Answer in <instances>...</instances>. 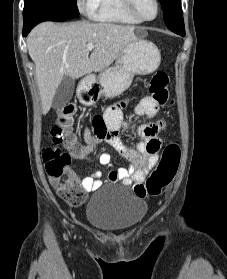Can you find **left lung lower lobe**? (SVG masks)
Segmentation results:
<instances>
[{
	"instance_id": "1",
	"label": "left lung lower lobe",
	"mask_w": 227,
	"mask_h": 279,
	"mask_svg": "<svg viewBox=\"0 0 227 279\" xmlns=\"http://www.w3.org/2000/svg\"><path fill=\"white\" fill-rule=\"evenodd\" d=\"M172 32L176 33V34H179L181 36H185V30H180V31H176V30H171Z\"/></svg>"
}]
</instances>
